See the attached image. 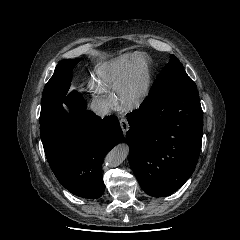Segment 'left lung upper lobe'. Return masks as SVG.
<instances>
[{"mask_svg": "<svg viewBox=\"0 0 240 240\" xmlns=\"http://www.w3.org/2000/svg\"><path fill=\"white\" fill-rule=\"evenodd\" d=\"M169 88H193L197 89L196 84L187 75L178 58L171 56L170 61L162 69L156 80L154 81L149 95H156L163 90Z\"/></svg>", "mask_w": 240, "mask_h": 240, "instance_id": "left-lung-upper-lobe-1", "label": "left lung upper lobe"}]
</instances>
